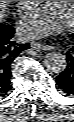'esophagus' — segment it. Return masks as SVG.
Returning a JSON list of instances; mask_svg holds the SVG:
<instances>
[{
	"label": "esophagus",
	"instance_id": "esophagus-1",
	"mask_svg": "<svg viewBox=\"0 0 74 122\" xmlns=\"http://www.w3.org/2000/svg\"><path fill=\"white\" fill-rule=\"evenodd\" d=\"M31 49L33 51H39V50H48L49 46L42 45L38 42H32L31 43Z\"/></svg>",
	"mask_w": 74,
	"mask_h": 122
}]
</instances>
